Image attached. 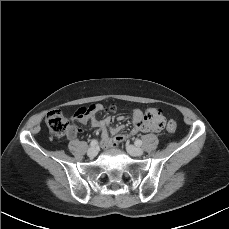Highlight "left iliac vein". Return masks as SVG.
Wrapping results in <instances>:
<instances>
[{
	"label": "left iliac vein",
	"instance_id": "1",
	"mask_svg": "<svg viewBox=\"0 0 229 229\" xmlns=\"http://www.w3.org/2000/svg\"><path fill=\"white\" fill-rule=\"evenodd\" d=\"M126 150L131 156H142L144 154L143 149L134 145H127Z\"/></svg>",
	"mask_w": 229,
	"mask_h": 229
}]
</instances>
